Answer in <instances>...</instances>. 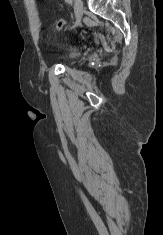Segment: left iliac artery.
<instances>
[{"mask_svg":"<svg viewBox=\"0 0 163 235\" xmlns=\"http://www.w3.org/2000/svg\"><path fill=\"white\" fill-rule=\"evenodd\" d=\"M66 2H68V3H71L72 2V0H65Z\"/></svg>","mask_w":163,"mask_h":235,"instance_id":"obj_1","label":"left iliac artery"}]
</instances>
